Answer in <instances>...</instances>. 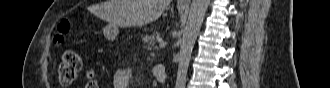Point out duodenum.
I'll use <instances>...</instances> for the list:
<instances>
[{"label":"duodenum","mask_w":330,"mask_h":88,"mask_svg":"<svg viewBox=\"0 0 330 88\" xmlns=\"http://www.w3.org/2000/svg\"><path fill=\"white\" fill-rule=\"evenodd\" d=\"M165 78H166V74H165V77L161 79V81H164V80H165Z\"/></svg>","instance_id":"duodenum-1"}]
</instances>
